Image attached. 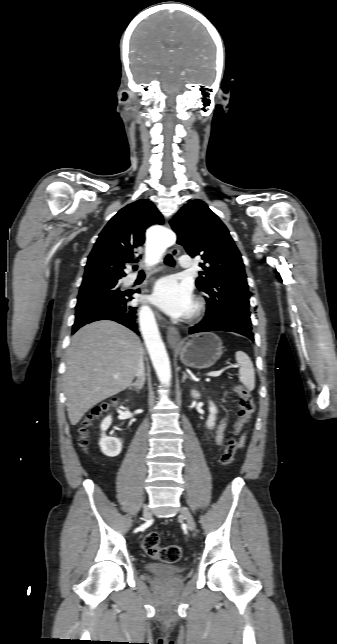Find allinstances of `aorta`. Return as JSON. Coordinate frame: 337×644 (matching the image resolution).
<instances>
[{"label": "aorta", "instance_id": "obj_1", "mask_svg": "<svg viewBox=\"0 0 337 644\" xmlns=\"http://www.w3.org/2000/svg\"><path fill=\"white\" fill-rule=\"evenodd\" d=\"M173 239V234L168 231H165L159 236L158 241L160 246L150 248L146 252L145 263L148 267L155 265L159 261L164 246ZM139 322L142 336L157 377L161 384L168 385L171 381L170 362L164 343L160 337L153 312L149 306L144 305L140 308Z\"/></svg>", "mask_w": 337, "mask_h": 644}]
</instances>
